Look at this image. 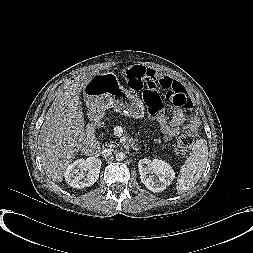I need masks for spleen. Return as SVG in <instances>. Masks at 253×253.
Instances as JSON below:
<instances>
[{"label": "spleen", "instance_id": "spleen-1", "mask_svg": "<svg viewBox=\"0 0 253 253\" xmlns=\"http://www.w3.org/2000/svg\"><path fill=\"white\" fill-rule=\"evenodd\" d=\"M207 159V141L201 139L193 145L190 156L180 169L177 180L178 194H183L197 183L206 167Z\"/></svg>", "mask_w": 253, "mask_h": 253}]
</instances>
